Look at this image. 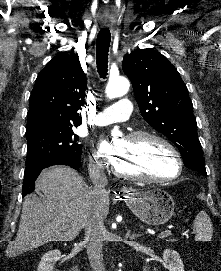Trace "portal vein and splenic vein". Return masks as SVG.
<instances>
[{
	"mask_svg": "<svg viewBox=\"0 0 221 271\" xmlns=\"http://www.w3.org/2000/svg\"><path fill=\"white\" fill-rule=\"evenodd\" d=\"M172 231L171 229H166V231H162L160 235H156L154 238L156 240H163L164 237H167V235H171Z\"/></svg>",
	"mask_w": 221,
	"mask_h": 271,
	"instance_id": "1",
	"label": "portal vein and splenic vein"
}]
</instances>
